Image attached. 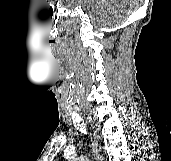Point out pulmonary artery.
Returning <instances> with one entry per match:
<instances>
[{
    "label": "pulmonary artery",
    "instance_id": "obj_1",
    "mask_svg": "<svg viewBox=\"0 0 171 161\" xmlns=\"http://www.w3.org/2000/svg\"><path fill=\"white\" fill-rule=\"evenodd\" d=\"M82 161H89V160H87V159H84V160H82Z\"/></svg>",
    "mask_w": 171,
    "mask_h": 161
}]
</instances>
